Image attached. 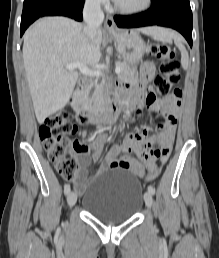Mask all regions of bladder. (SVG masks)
<instances>
[{
  "label": "bladder",
  "mask_w": 219,
  "mask_h": 258,
  "mask_svg": "<svg viewBox=\"0 0 219 258\" xmlns=\"http://www.w3.org/2000/svg\"><path fill=\"white\" fill-rule=\"evenodd\" d=\"M143 203L139 179L123 169L94 175L87 183L82 206L100 221L116 225L133 218Z\"/></svg>",
  "instance_id": "31cf9c89"
}]
</instances>
